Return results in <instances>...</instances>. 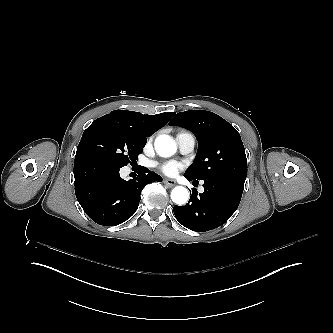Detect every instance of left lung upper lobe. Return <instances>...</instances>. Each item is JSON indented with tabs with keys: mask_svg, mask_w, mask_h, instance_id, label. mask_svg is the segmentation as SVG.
Here are the masks:
<instances>
[{
	"mask_svg": "<svg viewBox=\"0 0 333 333\" xmlns=\"http://www.w3.org/2000/svg\"><path fill=\"white\" fill-rule=\"evenodd\" d=\"M169 125L189 129L199 142L185 176L204 183L225 175L246 178L247 159L241 137L223 118L210 111H186L178 113Z\"/></svg>",
	"mask_w": 333,
	"mask_h": 333,
	"instance_id": "1",
	"label": "left lung upper lobe"
}]
</instances>
